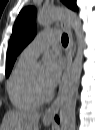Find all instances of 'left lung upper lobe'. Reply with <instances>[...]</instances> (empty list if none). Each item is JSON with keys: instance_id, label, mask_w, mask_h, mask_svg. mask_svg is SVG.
Returning a JSON list of instances; mask_svg holds the SVG:
<instances>
[{"instance_id": "1", "label": "left lung upper lobe", "mask_w": 95, "mask_h": 130, "mask_svg": "<svg viewBox=\"0 0 95 130\" xmlns=\"http://www.w3.org/2000/svg\"><path fill=\"white\" fill-rule=\"evenodd\" d=\"M69 8L76 10L75 0H62ZM36 9L34 7L24 8L18 15L12 36L10 38L7 54L6 77L9 76L17 55L26 47L36 34Z\"/></svg>"}]
</instances>
